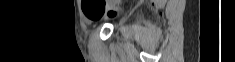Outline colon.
I'll return each instance as SVG.
<instances>
[{
	"instance_id": "1",
	"label": "colon",
	"mask_w": 235,
	"mask_h": 62,
	"mask_svg": "<svg viewBox=\"0 0 235 62\" xmlns=\"http://www.w3.org/2000/svg\"><path fill=\"white\" fill-rule=\"evenodd\" d=\"M83 10L88 18H93L99 11L97 0H84Z\"/></svg>"
}]
</instances>
